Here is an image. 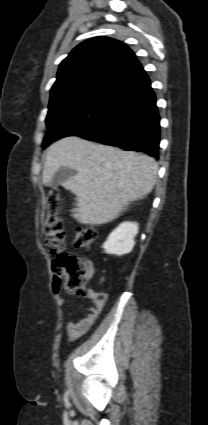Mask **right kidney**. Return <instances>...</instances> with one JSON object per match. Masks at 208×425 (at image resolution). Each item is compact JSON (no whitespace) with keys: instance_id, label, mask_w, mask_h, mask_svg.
<instances>
[{"instance_id":"1","label":"right kidney","mask_w":208,"mask_h":425,"mask_svg":"<svg viewBox=\"0 0 208 425\" xmlns=\"http://www.w3.org/2000/svg\"><path fill=\"white\" fill-rule=\"evenodd\" d=\"M138 233V223L123 222L108 236L103 248L107 254L122 256L132 251Z\"/></svg>"}]
</instances>
